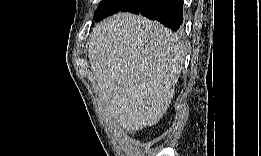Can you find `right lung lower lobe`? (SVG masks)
<instances>
[{
	"mask_svg": "<svg viewBox=\"0 0 261 156\" xmlns=\"http://www.w3.org/2000/svg\"><path fill=\"white\" fill-rule=\"evenodd\" d=\"M120 11L141 14L174 31L183 23L182 0H132Z\"/></svg>",
	"mask_w": 261,
	"mask_h": 156,
	"instance_id": "obj_1",
	"label": "right lung lower lobe"
}]
</instances>
